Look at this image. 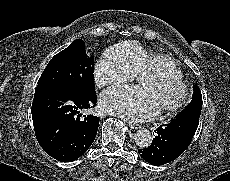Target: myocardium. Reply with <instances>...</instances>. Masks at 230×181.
Returning a JSON list of instances; mask_svg holds the SVG:
<instances>
[{
	"instance_id": "obj_1",
	"label": "myocardium",
	"mask_w": 230,
	"mask_h": 181,
	"mask_svg": "<svg viewBox=\"0 0 230 181\" xmlns=\"http://www.w3.org/2000/svg\"><path fill=\"white\" fill-rule=\"evenodd\" d=\"M155 80H164L172 82L179 89V96L177 97V99L170 104L156 108L157 111L173 112L179 109L181 106H183L188 97V88L185 82L182 80V77L179 78L174 74L165 71H151L140 78V87H144L146 82H152Z\"/></svg>"
}]
</instances>
